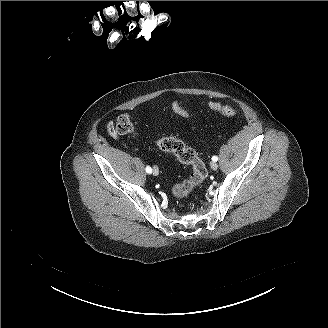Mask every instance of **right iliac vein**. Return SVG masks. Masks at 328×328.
I'll list each match as a JSON object with an SVG mask.
<instances>
[{"label":"right iliac vein","mask_w":328,"mask_h":328,"mask_svg":"<svg viewBox=\"0 0 328 328\" xmlns=\"http://www.w3.org/2000/svg\"><path fill=\"white\" fill-rule=\"evenodd\" d=\"M152 174H153L154 176H158V175H159V169H158L157 167H154V168H153V171H152Z\"/></svg>","instance_id":"63e3f726"}]
</instances>
